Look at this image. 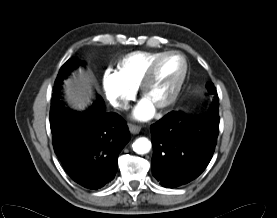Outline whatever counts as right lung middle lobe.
Returning <instances> with one entry per match:
<instances>
[{"mask_svg":"<svg viewBox=\"0 0 277 218\" xmlns=\"http://www.w3.org/2000/svg\"><path fill=\"white\" fill-rule=\"evenodd\" d=\"M79 61L76 58L69 59L60 69L57 78H66L73 69L78 67ZM72 111H68L62 105V101L51 100L50 126L52 133H57L69 121Z\"/></svg>","mask_w":277,"mask_h":218,"instance_id":"1","label":"right lung middle lobe"}]
</instances>
